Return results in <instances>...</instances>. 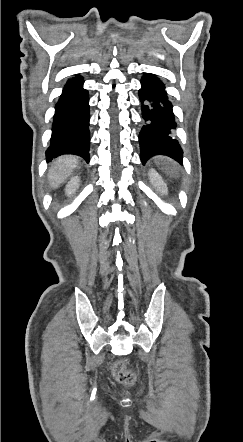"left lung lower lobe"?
Segmentation results:
<instances>
[{
    "label": "left lung lower lobe",
    "instance_id": "obj_1",
    "mask_svg": "<svg viewBox=\"0 0 243 442\" xmlns=\"http://www.w3.org/2000/svg\"><path fill=\"white\" fill-rule=\"evenodd\" d=\"M139 97L142 116L146 121L139 134L142 163L145 164L155 155H166L181 162L183 152L178 141L172 137L176 122L165 85L157 77L147 73L141 79Z\"/></svg>",
    "mask_w": 243,
    "mask_h": 442
}]
</instances>
